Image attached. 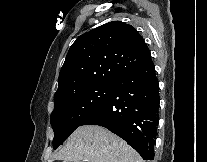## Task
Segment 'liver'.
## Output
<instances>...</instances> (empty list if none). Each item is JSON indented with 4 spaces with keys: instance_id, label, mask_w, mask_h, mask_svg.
<instances>
[{
    "instance_id": "1",
    "label": "liver",
    "mask_w": 207,
    "mask_h": 162,
    "mask_svg": "<svg viewBox=\"0 0 207 162\" xmlns=\"http://www.w3.org/2000/svg\"><path fill=\"white\" fill-rule=\"evenodd\" d=\"M63 162H144L123 139L98 125L78 127L54 155Z\"/></svg>"
}]
</instances>
